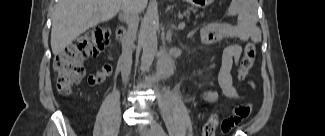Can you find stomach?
<instances>
[{
	"label": "stomach",
	"instance_id": "0dacf381",
	"mask_svg": "<svg viewBox=\"0 0 325 136\" xmlns=\"http://www.w3.org/2000/svg\"><path fill=\"white\" fill-rule=\"evenodd\" d=\"M189 2L194 7L202 8L209 5L213 0H189Z\"/></svg>",
	"mask_w": 325,
	"mask_h": 136
}]
</instances>
